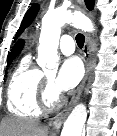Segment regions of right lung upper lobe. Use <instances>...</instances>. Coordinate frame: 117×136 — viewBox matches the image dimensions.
<instances>
[{
  "mask_svg": "<svg viewBox=\"0 0 117 136\" xmlns=\"http://www.w3.org/2000/svg\"><path fill=\"white\" fill-rule=\"evenodd\" d=\"M22 48H23V41L19 40L17 42V44L11 50V53L8 56V60L14 59L20 53V51H21Z\"/></svg>",
  "mask_w": 117,
  "mask_h": 136,
  "instance_id": "cb5924a9",
  "label": "right lung upper lobe"
}]
</instances>
